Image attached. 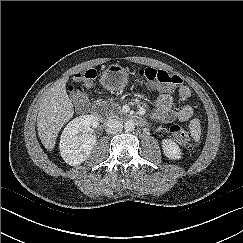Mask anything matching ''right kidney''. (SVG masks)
<instances>
[{"mask_svg": "<svg viewBox=\"0 0 243 243\" xmlns=\"http://www.w3.org/2000/svg\"><path fill=\"white\" fill-rule=\"evenodd\" d=\"M98 125V118L87 114L74 118L66 125L61 134L59 148L67 164L77 166L89 157L96 144V136L91 130Z\"/></svg>", "mask_w": 243, "mask_h": 243, "instance_id": "obj_1", "label": "right kidney"}]
</instances>
